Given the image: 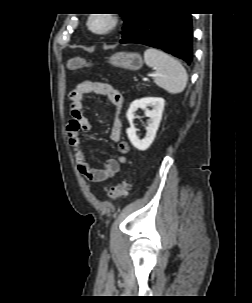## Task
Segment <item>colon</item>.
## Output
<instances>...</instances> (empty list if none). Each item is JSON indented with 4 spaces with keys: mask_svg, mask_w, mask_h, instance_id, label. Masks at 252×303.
<instances>
[{
    "mask_svg": "<svg viewBox=\"0 0 252 303\" xmlns=\"http://www.w3.org/2000/svg\"><path fill=\"white\" fill-rule=\"evenodd\" d=\"M90 66L91 64L88 60L79 57L72 58L67 62V68L69 70L83 69V68H88ZM129 189H130V182L128 180H123L117 185L106 187L105 193L109 199L115 200L126 196Z\"/></svg>",
    "mask_w": 252,
    "mask_h": 303,
    "instance_id": "1",
    "label": "colon"
}]
</instances>
